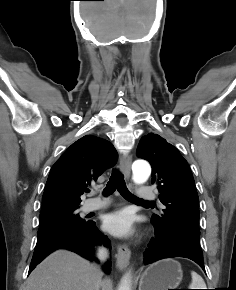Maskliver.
I'll use <instances>...</instances> for the list:
<instances>
[{
  "instance_id": "6515ba94",
  "label": "liver",
  "mask_w": 236,
  "mask_h": 290,
  "mask_svg": "<svg viewBox=\"0 0 236 290\" xmlns=\"http://www.w3.org/2000/svg\"><path fill=\"white\" fill-rule=\"evenodd\" d=\"M113 290L110 278L101 280L95 265L67 250L46 257L30 274L26 290Z\"/></svg>"
}]
</instances>
